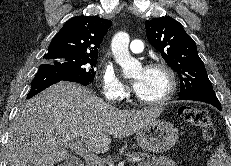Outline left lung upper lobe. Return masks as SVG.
Returning <instances> with one entry per match:
<instances>
[{"instance_id": "obj_1", "label": "left lung upper lobe", "mask_w": 231, "mask_h": 166, "mask_svg": "<svg viewBox=\"0 0 231 166\" xmlns=\"http://www.w3.org/2000/svg\"><path fill=\"white\" fill-rule=\"evenodd\" d=\"M146 35L168 65L180 77V96L189 93H214L194 40L171 17L145 21Z\"/></svg>"}]
</instances>
